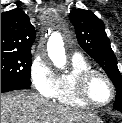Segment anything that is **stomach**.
Wrapping results in <instances>:
<instances>
[{
	"instance_id": "obj_1",
	"label": "stomach",
	"mask_w": 122,
	"mask_h": 123,
	"mask_svg": "<svg viewBox=\"0 0 122 123\" xmlns=\"http://www.w3.org/2000/svg\"><path fill=\"white\" fill-rule=\"evenodd\" d=\"M89 123H102V121L94 120V121H91Z\"/></svg>"
}]
</instances>
